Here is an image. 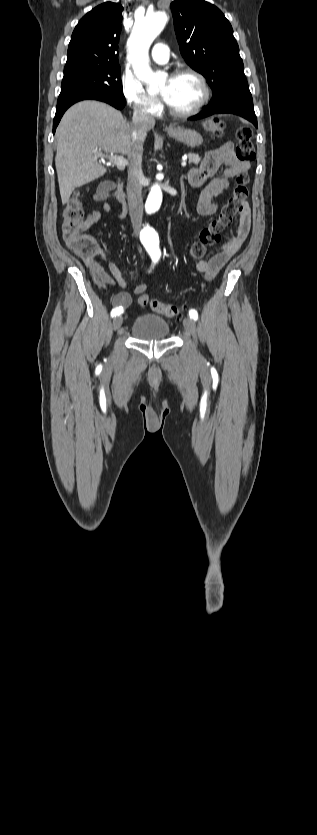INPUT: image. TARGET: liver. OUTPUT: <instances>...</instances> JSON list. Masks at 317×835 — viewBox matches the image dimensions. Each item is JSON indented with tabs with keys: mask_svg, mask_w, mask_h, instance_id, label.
Here are the masks:
<instances>
[{
	"mask_svg": "<svg viewBox=\"0 0 317 835\" xmlns=\"http://www.w3.org/2000/svg\"><path fill=\"white\" fill-rule=\"evenodd\" d=\"M55 165L62 204L76 187L106 173L98 162V150L129 157L135 143L132 124L122 113L98 101L85 100L71 106L56 129Z\"/></svg>",
	"mask_w": 317,
	"mask_h": 835,
	"instance_id": "6515ba94",
	"label": "liver"
}]
</instances>
